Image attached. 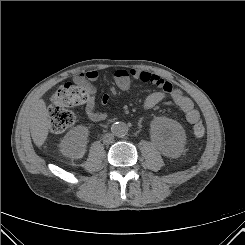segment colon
Instances as JSON below:
<instances>
[{
	"instance_id": "5ec220e1",
	"label": "colon",
	"mask_w": 245,
	"mask_h": 245,
	"mask_svg": "<svg viewBox=\"0 0 245 245\" xmlns=\"http://www.w3.org/2000/svg\"><path fill=\"white\" fill-rule=\"evenodd\" d=\"M92 96V89L89 85L78 83H65L51 98L49 107L50 129L53 133H62L75 122L76 115L71 109L74 106L85 104ZM196 137L205 134V127L202 122H197L192 127Z\"/></svg>"
}]
</instances>
